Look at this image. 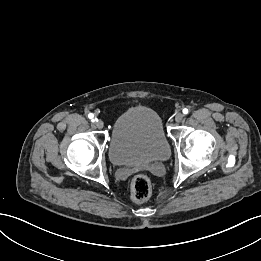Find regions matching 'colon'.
<instances>
[{"label":"colon","instance_id":"1","mask_svg":"<svg viewBox=\"0 0 261 261\" xmlns=\"http://www.w3.org/2000/svg\"><path fill=\"white\" fill-rule=\"evenodd\" d=\"M151 181L148 176L138 174L133 177L130 185L131 199L135 202H143L150 197Z\"/></svg>","mask_w":261,"mask_h":261}]
</instances>
